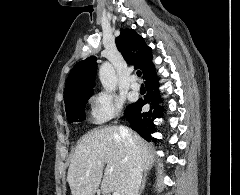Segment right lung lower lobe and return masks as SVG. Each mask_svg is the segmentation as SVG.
Masks as SVG:
<instances>
[{
  "instance_id": "98d812e1",
  "label": "right lung lower lobe",
  "mask_w": 240,
  "mask_h": 195,
  "mask_svg": "<svg viewBox=\"0 0 240 195\" xmlns=\"http://www.w3.org/2000/svg\"><path fill=\"white\" fill-rule=\"evenodd\" d=\"M158 78L154 75L146 82L147 95L138 100L134 106L125 113L131 128L147 141H155L151 135L157 131L156 119L163 117L164 109L160 105L162 98L158 90ZM149 105V111L141 113L143 105Z\"/></svg>"
}]
</instances>
